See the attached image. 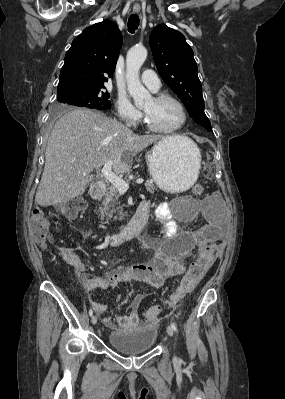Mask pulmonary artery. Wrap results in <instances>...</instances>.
<instances>
[{
    "label": "pulmonary artery",
    "instance_id": "e3ab8cb5",
    "mask_svg": "<svg viewBox=\"0 0 285 399\" xmlns=\"http://www.w3.org/2000/svg\"><path fill=\"white\" fill-rule=\"evenodd\" d=\"M142 82L153 92L158 91L161 87L160 79L151 70H145L142 73Z\"/></svg>",
    "mask_w": 285,
    "mask_h": 399
}]
</instances>
